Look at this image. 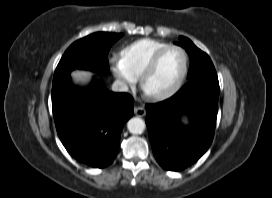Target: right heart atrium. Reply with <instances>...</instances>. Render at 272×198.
<instances>
[{
  "label": "right heart atrium",
  "mask_w": 272,
  "mask_h": 198,
  "mask_svg": "<svg viewBox=\"0 0 272 198\" xmlns=\"http://www.w3.org/2000/svg\"><path fill=\"white\" fill-rule=\"evenodd\" d=\"M109 65L113 75L124 89L135 85L137 77L128 69L121 57H111Z\"/></svg>",
  "instance_id": "1"
}]
</instances>
